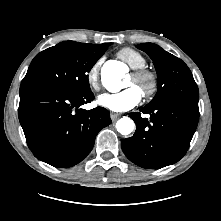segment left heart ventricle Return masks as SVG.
<instances>
[{"label":"left heart ventricle","instance_id":"1","mask_svg":"<svg viewBox=\"0 0 221 221\" xmlns=\"http://www.w3.org/2000/svg\"><path fill=\"white\" fill-rule=\"evenodd\" d=\"M129 85H135L140 90V86L134 83L132 75L129 77V79L125 83V86H129Z\"/></svg>","mask_w":221,"mask_h":221}]
</instances>
